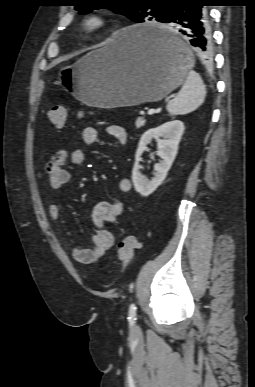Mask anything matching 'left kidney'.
Here are the masks:
<instances>
[{
  "label": "left kidney",
  "mask_w": 255,
  "mask_h": 387,
  "mask_svg": "<svg viewBox=\"0 0 255 387\" xmlns=\"http://www.w3.org/2000/svg\"><path fill=\"white\" fill-rule=\"evenodd\" d=\"M184 133V123L180 120L166 122L159 127L147 130L141 137L136 154L135 164L132 170V181L135 190L142 196H149L164 181L169 169L177 155L178 145ZM155 138L161 158L154 165L155 174L151 180L146 179L140 172L139 162L147 145Z\"/></svg>",
  "instance_id": "obj_1"
}]
</instances>
